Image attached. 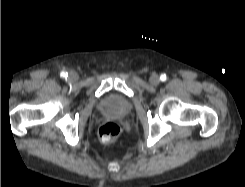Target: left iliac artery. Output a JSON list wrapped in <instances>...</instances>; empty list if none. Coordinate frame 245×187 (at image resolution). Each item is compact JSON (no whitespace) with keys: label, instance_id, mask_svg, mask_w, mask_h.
Returning <instances> with one entry per match:
<instances>
[{"label":"left iliac artery","instance_id":"obj_1","mask_svg":"<svg viewBox=\"0 0 245 187\" xmlns=\"http://www.w3.org/2000/svg\"><path fill=\"white\" fill-rule=\"evenodd\" d=\"M166 79H167L166 74H162V75L160 76V80H161V81H166Z\"/></svg>","mask_w":245,"mask_h":187}]
</instances>
